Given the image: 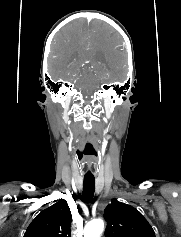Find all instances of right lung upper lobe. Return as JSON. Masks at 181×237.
<instances>
[{"label": "right lung upper lobe", "mask_w": 181, "mask_h": 237, "mask_svg": "<svg viewBox=\"0 0 181 237\" xmlns=\"http://www.w3.org/2000/svg\"><path fill=\"white\" fill-rule=\"evenodd\" d=\"M71 221L69 206L65 200L60 199L36 216L24 237H71Z\"/></svg>", "instance_id": "1"}]
</instances>
